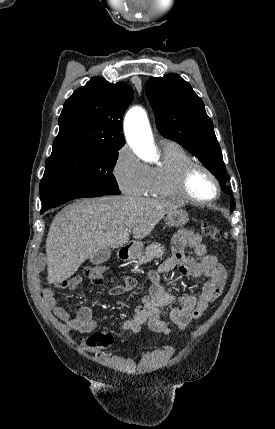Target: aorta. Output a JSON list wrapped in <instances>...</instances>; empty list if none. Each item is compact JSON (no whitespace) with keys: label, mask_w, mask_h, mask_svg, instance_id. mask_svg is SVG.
<instances>
[{"label":"aorta","mask_w":275,"mask_h":429,"mask_svg":"<svg viewBox=\"0 0 275 429\" xmlns=\"http://www.w3.org/2000/svg\"><path fill=\"white\" fill-rule=\"evenodd\" d=\"M126 138L133 151L142 159L152 161L157 151L146 112L139 107L131 109L125 117Z\"/></svg>","instance_id":"762f6f07"}]
</instances>
